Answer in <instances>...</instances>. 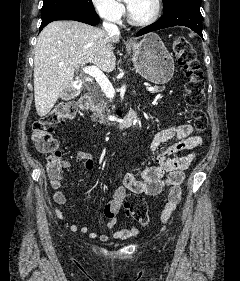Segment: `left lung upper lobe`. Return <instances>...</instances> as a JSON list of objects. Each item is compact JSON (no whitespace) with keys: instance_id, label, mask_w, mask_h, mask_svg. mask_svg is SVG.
<instances>
[{"instance_id":"obj_1","label":"left lung upper lobe","mask_w":240,"mask_h":281,"mask_svg":"<svg viewBox=\"0 0 240 281\" xmlns=\"http://www.w3.org/2000/svg\"><path fill=\"white\" fill-rule=\"evenodd\" d=\"M180 0H163V11L167 10L169 7H171L174 3L178 2ZM201 1V0H198Z\"/></svg>"}]
</instances>
